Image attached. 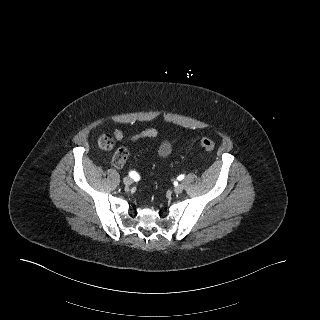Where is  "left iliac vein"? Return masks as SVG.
<instances>
[{
    "label": "left iliac vein",
    "mask_w": 320,
    "mask_h": 320,
    "mask_svg": "<svg viewBox=\"0 0 320 320\" xmlns=\"http://www.w3.org/2000/svg\"><path fill=\"white\" fill-rule=\"evenodd\" d=\"M184 190V185L183 184H179L174 188V192L176 194H180L182 193V191Z\"/></svg>",
    "instance_id": "4c4485c4"
}]
</instances>
